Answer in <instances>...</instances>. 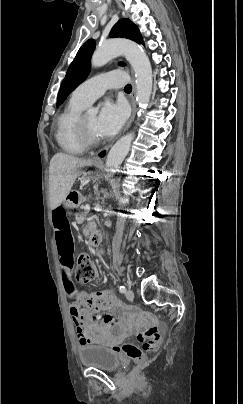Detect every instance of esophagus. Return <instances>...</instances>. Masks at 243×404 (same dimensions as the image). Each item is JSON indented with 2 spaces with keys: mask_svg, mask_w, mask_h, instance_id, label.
I'll return each mask as SVG.
<instances>
[{
  "mask_svg": "<svg viewBox=\"0 0 243 404\" xmlns=\"http://www.w3.org/2000/svg\"><path fill=\"white\" fill-rule=\"evenodd\" d=\"M131 76H132V93H131V104H132V115L131 118L127 124V126L125 127V129L123 130V133L126 132V130H128V128L130 127L131 123L133 122L135 115H136V110H137V103H136V84H135V77L133 72H131ZM110 147V145H108L107 147H105V149L107 150ZM95 163H100L101 160L100 159H96L94 160Z\"/></svg>",
  "mask_w": 243,
  "mask_h": 404,
  "instance_id": "obj_1",
  "label": "esophagus"
}]
</instances>
